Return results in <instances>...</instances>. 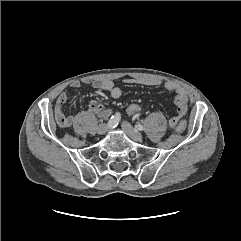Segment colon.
I'll use <instances>...</instances> for the list:
<instances>
[{"label":"colon","instance_id":"obj_1","mask_svg":"<svg viewBox=\"0 0 241 241\" xmlns=\"http://www.w3.org/2000/svg\"><path fill=\"white\" fill-rule=\"evenodd\" d=\"M126 111L129 115H137L142 111V107L139 104L134 103L129 105ZM185 128H186V122L183 120L179 121L175 126V130L177 132H182L184 131Z\"/></svg>","mask_w":241,"mask_h":241}]
</instances>
